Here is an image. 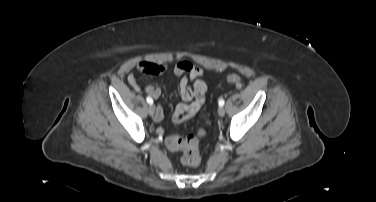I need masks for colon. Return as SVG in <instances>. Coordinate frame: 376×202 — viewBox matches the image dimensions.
Instances as JSON below:
<instances>
[{
	"label": "colon",
	"mask_w": 376,
	"mask_h": 202,
	"mask_svg": "<svg viewBox=\"0 0 376 202\" xmlns=\"http://www.w3.org/2000/svg\"><path fill=\"white\" fill-rule=\"evenodd\" d=\"M226 80L237 88L243 86V78L236 73L227 75ZM204 132V129L201 128L197 134L187 136L173 134L166 138L165 144L168 149L182 153L181 160L184 165L195 167L201 163L199 136L203 135Z\"/></svg>",
	"instance_id": "colon-1"
}]
</instances>
